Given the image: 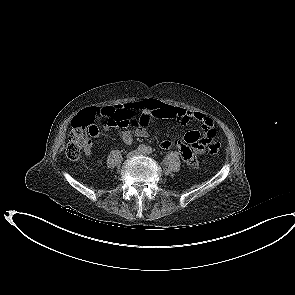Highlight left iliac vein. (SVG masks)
<instances>
[{
	"mask_svg": "<svg viewBox=\"0 0 295 295\" xmlns=\"http://www.w3.org/2000/svg\"><path fill=\"white\" fill-rule=\"evenodd\" d=\"M139 154H140V155H144L145 152H143V151H139Z\"/></svg>",
	"mask_w": 295,
	"mask_h": 295,
	"instance_id": "obj_1",
	"label": "left iliac vein"
}]
</instances>
